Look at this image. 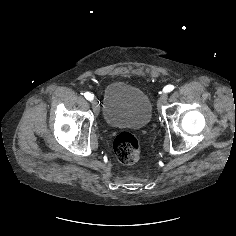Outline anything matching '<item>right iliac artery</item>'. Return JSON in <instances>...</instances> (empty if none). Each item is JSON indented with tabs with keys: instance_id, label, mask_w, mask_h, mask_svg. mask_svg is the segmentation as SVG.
<instances>
[{
	"instance_id": "82829eb1",
	"label": "right iliac artery",
	"mask_w": 236,
	"mask_h": 236,
	"mask_svg": "<svg viewBox=\"0 0 236 236\" xmlns=\"http://www.w3.org/2000/svg\"><path fill=\"white\" fill-rule=\"evenodd\" d=\"M84 97L89 101L93 100V95L89 92L84 93Z\"/></svg>"
}]
</instances>
